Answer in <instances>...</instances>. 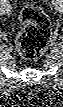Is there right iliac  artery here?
I'll list each match as a JSON object with an SVG mask.
<instances>
[{
    "label": "right iliac artery",
    "instance_id": "obj_1",
    "mask_svg": "<svg viewBox=\"0 0 63 107\" xmlns=\"http://www.w3.org/2000/svg\"><path fill=\"white\" fill-rule=\"evenodd\" d=\"M3 3H7V1L6 0H1V4H3ZM9 10H10V6H9Z\"/></svg>",
    "mask_w": 63,
    "mask_h": 107
}]
</instances>
